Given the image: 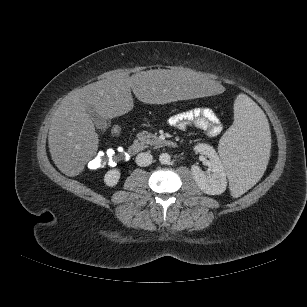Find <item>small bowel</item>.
Instances as JSON below:
<instances>
[{
  "mask_svg": "<svg viewBox=\"0 0 307 307\" xmlns=\"http://www.w3.org/2000/svg\"><path fill=\"white\" fill-rule=\"evenodd\" d=\"M170 126L185 131L196 127L206 131L210 137L218 136L223 129L217 114L210 108H193L170 116L167 119Z\"/></svg>",
  "mask_w": 307,
  "mask_h": 307,
  "instance_id": "c3829d8e",
  "label": "small bowel"
}]
</instances>
